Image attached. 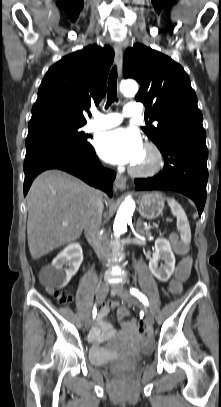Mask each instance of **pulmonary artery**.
<instances>
[{
    "mask_svg": "<svg viewBox=\"0 0 221 407\" xmlns=\"http://www.w3.org/2000/svg\"><path fill=\"white\" fill-rule=\"evenodd\" d=\"M141 113L140 107L135 103H128L123 109V113L116 112L101 113L97 110L93 111V119L86 125L87 131H98L108 129L119 125L123 117H135Z\"/></svg>",
    "mask_w": 221,
    "mask_h": 407,
    "instance_id": "e3ab8cb5",
    "label": "pulmonary artery"
}]
</instances>
